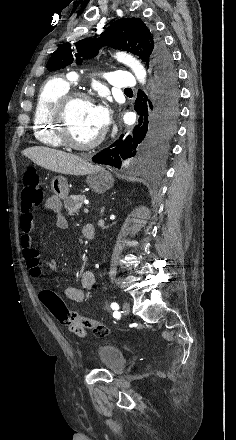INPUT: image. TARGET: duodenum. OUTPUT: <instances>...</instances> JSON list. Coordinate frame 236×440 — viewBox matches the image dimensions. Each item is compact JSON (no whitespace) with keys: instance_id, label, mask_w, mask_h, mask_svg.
Wrapping results in <instances>:
<instances>
[{"instance_id":"1","label":"duodenum","mask_w":236,"mask_h":440,"mask_svg":"<svg viewBox=\"0 0 236 440\" xmlns=\"http://www.w3.org/2000/svg\"><path fill=\"white\" fill-rule=\"evenodd\" d=\"M84 236L88 239H93L95 236V228L92 224H87L83 228Z\"/></svg>"}]
</instances>
